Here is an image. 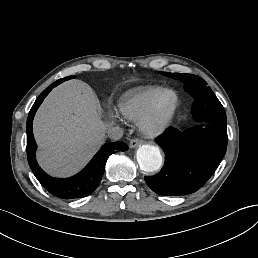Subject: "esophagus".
Wrapping results in <instances>:
<instances>
[{
	"label": "esophagus",
	"instance_id": "1",
	"mask_svg": "<svg viewBox=\"0 0 258 258\" xmlns=\"http://www.w3.org/2000/svg\"><path fill=\"white\" fill-rule=\"evenodd\" d=\"M144 143L141 139H132L129 143L130 148H136Z\"/></svg>",
	"mask_w": 258,
	"mask_h": 258
}]
</instances>
